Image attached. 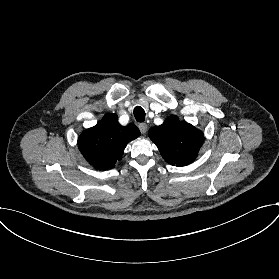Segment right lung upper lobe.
Returning <instances> with one entry per match:
<instances>
[{"instance_id":"obj_1","label":"right lung upper lobe","mask_w":279,"mask_h":279,"mask_svg":"<svg viewBox=\"0 0 279 279\" xmlns=\"http://www.w3.org/2000/svg\"><path fill=\"white\" fill-rule=\"evenodd\" d=\"M138 136L140 131L133 123L122 127L117 115L109 113L97 125L82 132L78 147L91 165L106 170L115 166L126 145Z\"/></svg>"}]
</instances>
